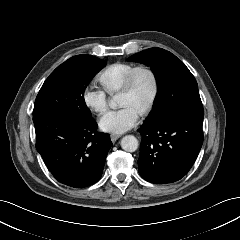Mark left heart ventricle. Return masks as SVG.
I'll use <instances>...</instances> for the list:
<instances>
[{
  "label": "left heart ventricle",
  "instance_id": "obj_1",
  "mask_svg": "<svg viewBox=\"0 0 240 240\" xmlns=\"http://www.w3.org/2000/svg\"><path fill=\"white\" fill-rule=\"evenodd\" d=\"M152 91L153 83L150 75L146 72H140L135 77L131 92L118 94V105L130 107L139 114L150 100Z\"/></svg>",
  "mask_w": 240,
  "mask_h": 240
}]
</instances>
